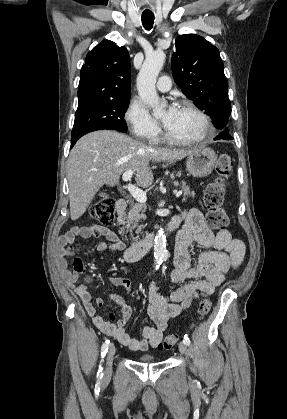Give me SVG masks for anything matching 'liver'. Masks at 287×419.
Returning a JSON list of instances; mask_svg holds the SVG:
<instances>
[{
  "mask_svg": "<svg viewBox=\"0 0 287 419\" xmlns=\"http://www.w3.org/2000/svg\"><path fill=\"white\" fill-rule=\"evenodd\" d=\"M193 150L152 147L111 130L83 136L67 161L71 219H79L100 188L104 184L115 186L125 171L133 170L137 185L146 188L153 182L150 162H175Z\"/></svg>",
  "mask_w": 287,
  "mask_h": 419,
  "instance_id": "liver-1",
  "label": "liver"
}]
</instances>
